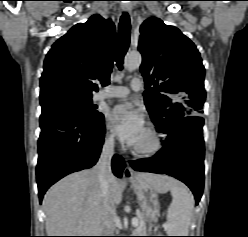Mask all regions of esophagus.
Masks as SVG:
<instances>
[{"label":"esophagus","mask_w":248,"mask_h":237,"mask_svg":"<svg viewBox=\"0 0 248 237\" xmlns=\"http://www.w3.org/2000/svg\"><path fill=\"white\" fill-rule=\"evenodd\" d=\"M122 10H123L124 12H130V11H131V9L128 8V7H123ZM134 174H135V173H134V170L131 168L130 164L127 162V163H126V167H125V169H124V171H123V176H124V178H125V179H128V180H133Z\"/></svg>","instance_id":"obj_1"}]
</instances>
